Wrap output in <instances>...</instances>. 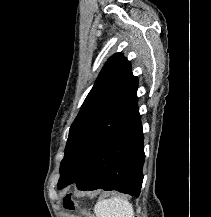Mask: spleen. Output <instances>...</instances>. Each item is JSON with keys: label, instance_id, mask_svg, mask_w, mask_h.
Segmentation results:
<instances>
[{"label": "spleen", "instance_id": "1", "mask_svg": "<svg viewBox=\"0 0 211 217\" xmlns=\"http://www.w3.org/2000/svg\"><path fill=\"white\" fill-rule=\"evenodd\" d=\"M94 210L97 217H134L132 204L120 197L98 201Z\"/></svg>", "mask_w": 211, "mask_h": 217}]
</instances>
